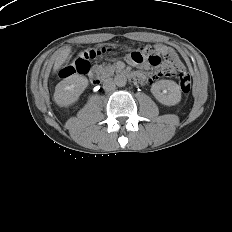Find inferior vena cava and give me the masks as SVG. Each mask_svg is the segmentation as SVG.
Segmentation results:
<instances>
[{
    "instance_id": "1",
    "label": "inferior vena cava",
    "mask_w": 232,
    "mask_h": 232,
    "mask_svg": "<svg viewBox=\"0 0 232 232\" xmlns=\"http://www.w3.org/2000/svg\"><path fill=\"white\" fill-rule=\"evenodd\" d=\"M115 82L112 78H108L104 81L103 83V89L106 91V92H110V91H113L115 90Z\"/></svg>"
}]
</instances>
